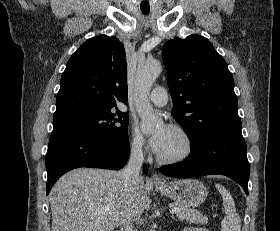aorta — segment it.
Returning a JSON list of instances; mask_svg holds the SVG:
<instances>
[{
    "instance_id": "obj_1",
    "label": "aorta",
    "mask_w": 280,
    "mask_h": 231,
    "mask_svg": "<svg viewBox=\"0 0 280 231\" xmlns=\"http://www.w3.org/2000/svg\"><path fill=\"white\" fill-rule=\"evenodd\" d=\"M161 72L162 66L158 60L146 62L143 66H138V78L134 96L136 112L141 119L140 127L142 133H153L163 121L162 117L155 114L148 98L149 92Z\"/></svg>"
}]
</instances>
